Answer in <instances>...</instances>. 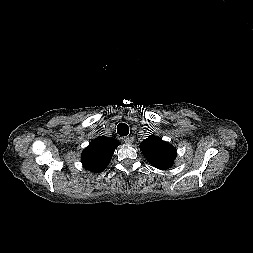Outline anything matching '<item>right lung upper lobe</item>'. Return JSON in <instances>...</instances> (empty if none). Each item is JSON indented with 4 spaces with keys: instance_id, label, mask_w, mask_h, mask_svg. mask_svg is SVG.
Segmentation results:
<instances>
[{
    "instance_id": "cb5924a9",
    "label": "right lung upper lobe",
    "mask_w": 253,
    "mask_h": 253,
    "mask_svg": "<svg viewBox=\"0 0 253 253\" xmlns=\"http://www.w3.org/2000/svg\"><path fill=\"white\" fill-rule=\"evenodd\" d=\"M118 145L120 142L115 138L100 136L94 139L82 153L83 166L94 173L102 172L110 163Z\"/></svg>"
}]
</instances>
